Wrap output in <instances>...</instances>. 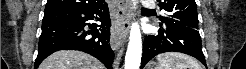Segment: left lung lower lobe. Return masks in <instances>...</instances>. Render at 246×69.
I'll return each mask as SVG.
<instances>
[{
  "label": "left lung lower lobe",
  "mask_w": 246,
  "mask_h": 69,
  "mask_svg": "<svg viewBox=\"0 0 246 69\" xmlns=\"http://www.w3.org/2000/svg\"><path fill=\"white\" fill-rule=\"evenodd\" d=\"M158 35H149L144 39L141 69L154 56L165 52H181L197 58L206 66L201 49L199 32L192 28L163 26Z\"/></svg>",
  "instance_id": "1"
}]
</instances>
